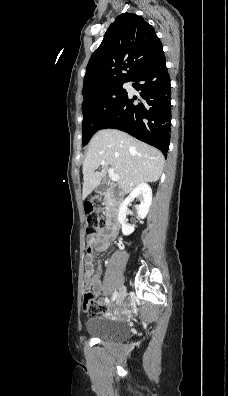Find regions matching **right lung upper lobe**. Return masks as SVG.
<instances>
[{
	"mask_svg": "<svg viewBox=\"0 0 228 396\" xmlns=\"http://www.w3.org/2000/svg\"><path fill=\"white\" fill-rule=\"evenodd\" d=\"M161 45L152 26L141 16L119 15L89 60L83 95L108 85L132 81Z\"/></svg>",
	"mask_w": 228,
	"mask_h": 396,
	"instance_id": "cb5924a9",
	"label": "right lung upper lobe"
}]
</instances>
